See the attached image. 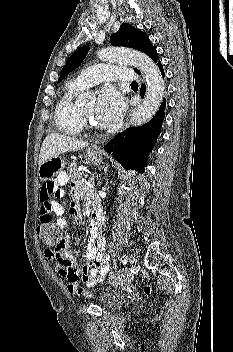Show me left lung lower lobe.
I'll list each match as a JSON object with an SVG mask.
<instances>
[{"label":"left lung lower lobe","instance_id":"0a47b994","mask_svg":"<svg viewBox=\"0 0 233 352\" xmlns=\"http://www.w3.org/2000/svg\"><path fill=\"white\" fill-rule=\"evenodd\" d=\"M157 66L164 77L163 66L160 61ZM145 85H142L140 94L143 97ZM165 99L155 116L141 127H131L116 135L104 149L125 168L135 169L144 172L147 165L146 157L154 147L156 139L160 134L161 125L164 119Z\"/></svg>","mask_w":233,"mask_h":352}]
</instances>
